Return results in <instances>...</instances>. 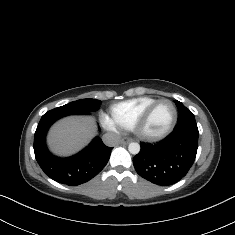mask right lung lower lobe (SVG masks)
Masks as SVG:
<instances>
[{"label": "right lung lower lobe", "mask_w": 235, "mask_h": 235, "mask_svg": "<svg viewBox=\"0 0 235 235\" xmlns=\"http://www.w3.org/2000/svg\"><path fill=\"white\" fill-rule=\"evenodd\" d=\"M61 117L64 116L54 109L42 116L34 137L35 157L44 173L53 180L72 186L83 184L105 167L112 148L96 137L88 147L72 157L52 155L46 147L45 137L49 127Z\"/></svg>", "instance_id": "obj_1"}]
</instances>
